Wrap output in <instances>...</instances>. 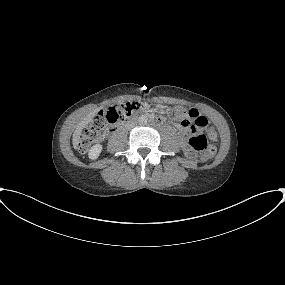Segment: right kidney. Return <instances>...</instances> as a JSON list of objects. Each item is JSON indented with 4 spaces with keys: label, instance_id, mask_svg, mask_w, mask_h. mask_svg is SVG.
<instances>
[{
    "label": "right kidney",
    "instance_id": "right-kidney-1",
    "mask_svg": "<svg viewBox=\"0 0 285 285\" xmlns=\"http://www.w3.org/2000/svg\"><path fill=\"white\" fill-rule=\"evenodd\" d=\"M102 151V145L101 144H96L94 145L90 151H89V158L92 160H95L99 157L100 153Z\"/></svg>",
    "mask_w": 285,
    "mask_h": 285
}]
</instances>
